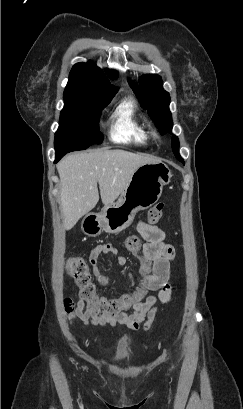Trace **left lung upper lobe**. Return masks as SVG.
<instances>
[{
  "mask_svg": "<svg viewBox=\"0 0 243 409\" xmlns=\"http://www.w3.org/2000/svg\"><path fill=\"white\" fill-rule=\"evenodd\" d=\"M141 84L135 85L129 81L130 86L135 91L144 109L148 110L149 116L160 128L161 134L171 133L173 123L169 110L170 96L162 88V80L158 75H145L140 80ZM172 150L175 156L184 163L179 155V140L174 135L172 137Z\"/></svg>",
  "mask_w": 243,
  "mask_h": 409,
  "instance_id": "1",
  "label": "left lung upper lobe"
}]
</instances>
